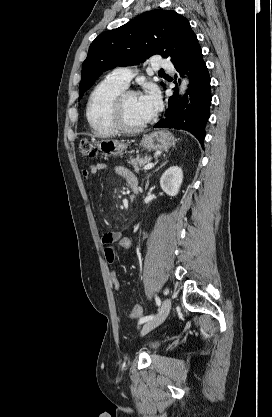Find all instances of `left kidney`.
I'll return each mask as SVG.
<instances>
[{
	"mask_svg": "<svg viewBox=\"0 0 272 417\" xmlns=\"http://www.w3.org/2000/svg\"><path fill=\"white\" fill-rule=\"evenodd\" d=\"M183 182V171L178 166L168 168L160 178L161 189L169 196H176Z\"/></svg>",
	"mask_w": 272,
	"mask_h": 417,
	"instance_id": "left-kidney-1",
	"label": "left kidney"
}]
</instances>
